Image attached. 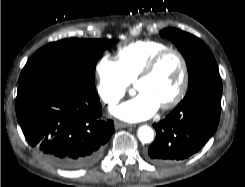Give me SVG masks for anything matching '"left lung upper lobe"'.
I'll use <instances>...</instances> for the list:
<instances>
[{"mask_svg": "<svg viewBox=\"0 0 245 187\" xmlns=\"http://www.w3.org/2000/svg\"><path fill=\"white\" fill-rule=\"evenodd\" d=\"M160 34L170 39L186 60L189 76L187 94L206 83L220 80L216 60L201 39L175 28L164 29Z\"/></svg>", "mask_w": 245, "mask_h": 187, "instance_id": "obj_1", "label": "left lung upper lobe"}]
</instances>
